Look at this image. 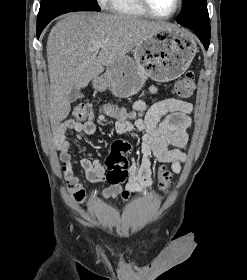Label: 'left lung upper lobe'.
Here are the masks:
<instances>
[{"mask_svg": "<svg viewBox=\"0 0 247 280\" xmlns=\"http://www.w3.org/2000/svg\"><path fill=\"white\" fill-rule=\"evenodd\" d=\"M177 22L184 27L210 33V20L206 0H184V7Z\"/></svg>", "mask_w": 247, "mask_h": 280, "instance_id": "5c2ea615", "label": "left lung upper lobe"}]
</instances>
